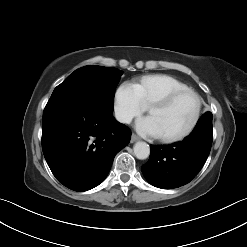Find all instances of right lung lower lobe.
I'll return each instance as SVG.
<instances>
[{"label":"right lung lower lobe","instance_id":"right-lung-lower-lobe-1","mask_svg":"<svg viewBox=\"0 0 247 247\" xmlns=\"http://www.w3.org/2000/svg\"><path fill=\"white\" fill-rule=\"evenodd\" d=\"M101 100L70 97L51 100L43 112L42 149L49 168L64 186L87 191L107 176L115 155L131 132L115 120Z\"/></svg>","mask_w":247,"mask_h":247}]
</instances>
